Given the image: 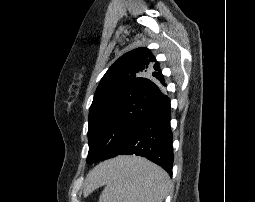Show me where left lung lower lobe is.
<instances>
[{"instance_id": "0a47b994", "label": "left lung lower lobe", "mask_w": 255, "mask_h": 202, "mask_svg": "<svg viewBox=\"0 0 255 202\" xmlns=\"http://www.w3.org/2000/svg\"><path fill=\"white\" fill-rule=\"evenodd\" d=\"M170 100L167 98L141 122L118 155L142 156L172 176L173 135L170 129Z\"/></svg>"}]
</instances>
